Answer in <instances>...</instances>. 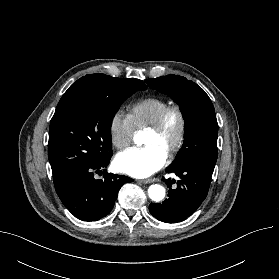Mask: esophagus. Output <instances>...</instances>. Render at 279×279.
<instances>
[{
  "instance_id": "obj_1",
  "label": "esophagus",
  "mask_w": 279,
  "mask_h": 279,
  "mask_svg": "<svg viewBox=\"0 0 279 279\" xmlns=\"http://www.w3.org/2000/svg\"><path fill=\"white\" fill-rule=\"evenodd\" d=\"M156 179L155 178H149V179H142V180H138L139 183H142V184H148V183H152V182H155Z\"/></svg>"
}]
</instances>
